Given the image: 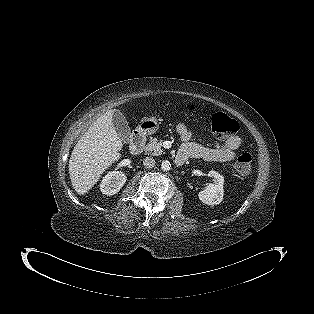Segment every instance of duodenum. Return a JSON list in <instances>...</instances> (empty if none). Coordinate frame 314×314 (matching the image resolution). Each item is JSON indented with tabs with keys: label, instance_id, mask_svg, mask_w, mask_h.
Masks as SVG:
<instances>
[{
	"label": "duodenum",
	"instance_id": "1",
	"mask_svg": "<svg viewBox=\"0 0 314 314\" xmlns=\"http://www.w3.org/2000/svg\"><path fill=\"white\" fill-rule=\"evenodd\" d=\"M146 141V136L143 132L137 131L133 134L132 136V141H131V146H130V151L133 155H138L142 152L144 145ZM185 159L177 155L176 157V162L178 165H182L184 163Z\"/></svg>",
	"mask_w": 314,
	"mask_h": 314
}]
</instances>
